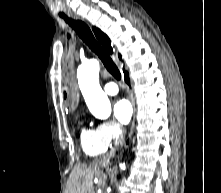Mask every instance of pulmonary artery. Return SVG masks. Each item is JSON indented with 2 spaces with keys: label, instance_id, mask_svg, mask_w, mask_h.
<instances>
[{
  "label": "pulmonary artery",
  "instance_id": "pulmonary-artery-1",
  "mask_svg": "<svg viewBox=\"0 0 221 193\" xmlns=\"http://www.w3.org/2000/svg\"><path fill=\"white\" fill-rule=\"evenodd\" d=\"M104 91L109 95L118 93V86L114 82H109L104 86Z\"/></svg>",
  "mask_w": 221,
  "mask_h": 193
}]
</instances>
